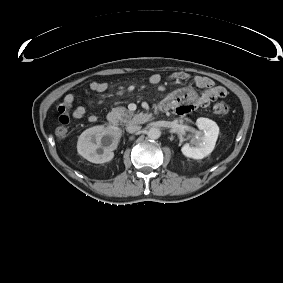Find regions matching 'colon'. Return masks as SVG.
<instances>
[{"mask_svg":"<svg viewBox=\"0 0 283 283\" xmlns=\"http://www.w3.org/2000/svg\"><path fill=\"white\" fill-rule=\"evenodd\" d=\"M212 111L217 116H225L229 113L230 107L227 103L221 101L214 104ZM60 122L61 125L56 128L55 134L59 139H63L68 134V127H67L68 119L67 118H63L62 120L60 119Z\"/></svg>","mask_w":283,"mask_h":283,"instance_id":"5ec220e1","label":"colon"}]
</instances>
